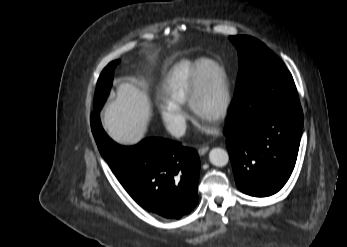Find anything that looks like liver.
I'll return each mask as SVG.
<instances>
[{
    "label": "liver",
    "instance_id": "obj_1",
    "mask_svg": "<svg viewBox=\"0 0 347 247\" xmlns=\"http://www.w3.org/2000/svg\"><path fill=\"white\" fill-rule=\"evenodd\" d=\"M151 108V100L144 86L133 82L120 83L115 98L104 110L103 127L114 142L136 145L145 138Z\"/></svg>",
    "mask_w": 347,
    "mask_h": 247
}]
</instances>
